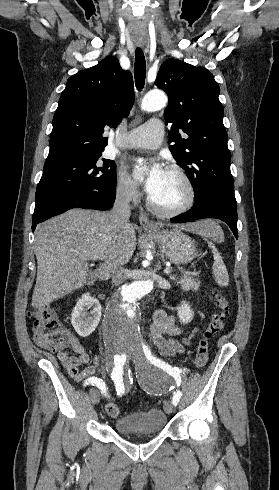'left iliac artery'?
I'll return each instance as SVG.
<instances>
[{
  "label": "left iliac artery",
  "instance_id": "44dca946",
  "mask_svg": "<svg viewBox=\"0 0 279 490\" xmlns=\"http://www.w3.org/2000/svg\"><path fill=\"white\" fill-rule=\"evenodd\" d=\"M143 349H144V353H145L146 357L148 358V360H150L151 363L162 368L164 371H166L170 375H173L174 377H177L178 375H180L181 371L177 367L172 368L170 365L166 364L164 361H161L160 359H157L156 357H154L151 354L150 349L147 346H143ZM181 396H182V393L180 391L174 392L173 400H172V403L174 406H176L178 404Z\"/></svg>",
  "mask_w": 279,
  "mask_h": 490
}]
</instances>
